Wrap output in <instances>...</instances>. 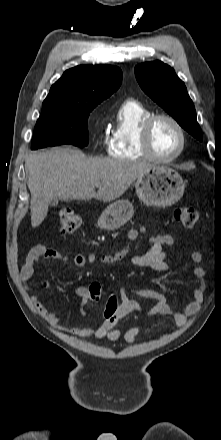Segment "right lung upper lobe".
Here are the masks:
<instances>
[{
  "label": "right lung upper lobe",
  "instance_id": "right-lung-upper-lobe-1",
  "mask_svg": "<svg viewBox=\"0 0 221 440\" xmlns=\"http://www.w3.org/2000/svg\"><path fill=\"white\" fill-rule=\"evenodd\" d=\"M122 71L111 65H79L65 71L44 102L98 105L121 85Z\"/></svg>",
  "mask_w": 221,
  "mask_h": 440
}]
</instances>
